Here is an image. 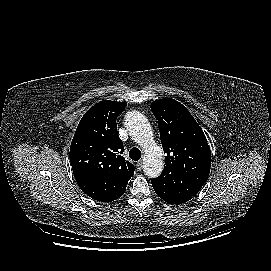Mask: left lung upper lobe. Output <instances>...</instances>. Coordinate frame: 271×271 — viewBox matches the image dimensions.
<instances>
[{
	"label": "left lung upper lobe",
	"instance_id": "obj_1",
	"mask_svg": "<svg viewBox=\"0 0 271 271\" xmlns=\"http://www.w3.org/2000/svg\"><path fill=\"white\" fill-rule=\"evenodd\" d=\"M150 108L158 120L165 156L163 176L177 172L189 181L203 186L211 166L207 139L196 120L180 102L164 98L153 101Z\"/></svg>",
	"mask_w": 271,
	"mask_h": 271
}]
</instances>
